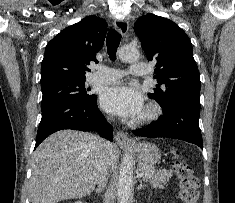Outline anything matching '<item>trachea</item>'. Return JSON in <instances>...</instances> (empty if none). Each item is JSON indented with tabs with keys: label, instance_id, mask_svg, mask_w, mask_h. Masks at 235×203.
I'll use <instances>...</instances> for the list:
<instances>
[{
	"label": "trachea",
	"instance_id": "trachea-1",
	"mask_svg": "<svg viewBox=\"0 0 235 203\" xmlns=\"http://www.w3.org/2000/svg\"><path fill=\"white\" fill-rule=\"evenodd\" d=\"M121 41V34L116 30L110 29L106 38L107 52L111 60L116 59V51Z\"/></svg>",
	"mask_w": 235,
	"mask_h": 203
}]
</instances>
